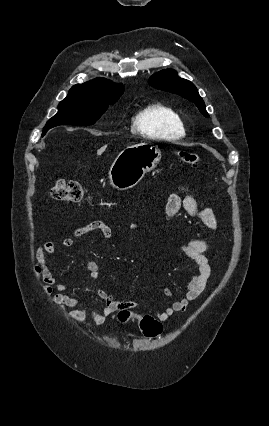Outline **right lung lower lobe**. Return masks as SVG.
I'll list each match as a JSON object with an SVG mask.
<instances>
[{
  "instance_id": "98d812e1",
  "label": "right lung lower lobe",
  "mask_w": 269,
  "mask_h": 426,
  "mask_svg": "<svg viewBox=\"0 0 269 426\" xmlns=\"http://www.w3.org/2000/svg\"><path fill=\"white\" fill-rule=\"evenodd\" d=\"M46 132H47V131H44V130H43V133H42V135H44V134H45Z\"/></svg>"
}]
</instances>
